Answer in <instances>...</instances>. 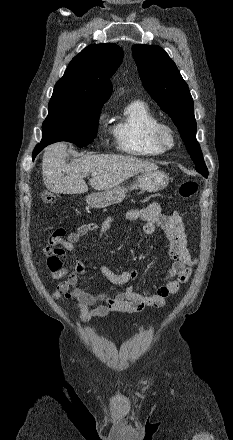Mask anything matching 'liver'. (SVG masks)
<instances>
[{"label":"liver","instance_id":"obj_1","mask_svg":"<svg viewBox=\"0 0 233 440\" xmlns=\"http://www.w3.org/2000/svg\"><path fill=\"white\" fill-rule=\"evenodd\" d=\"M67 144L48 146L42 159V175L47 189L53 193L80 194L88 191L84 177L90 173V185L99 191L118 186L126 179L144 172L157 170V165L132 156L85 155L66 162Z\"/></svg>","mask_w":233,"mask_h":440}]
</instances>
